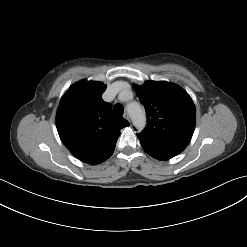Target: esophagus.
I'll return each mask as SVG.
<instances>
[{
  "mask_svg": "<svg viewBox=\"0 0 247 247\" xmlns=\"http://www.w3.org/2000/svg\"><path fill=\"white\" fill-rule=\"evenodd\" d=\"M126 120H128L129 122H130V116L126 113V114H124V116H123Z\"/></svg>",
  "mask_w": 247,
  "mask_h": 247,
  "instance_id": "1",
  "label": "esophagus"
}]
</instances>
